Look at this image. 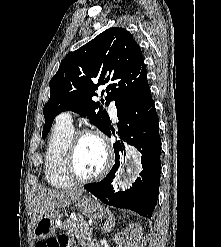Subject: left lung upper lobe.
Returning a JSON list of instances; mask_svg holds the SVG:
<instances>
[{
	"mask_svg": "<svg viewBox=\"0 0 221 247\" xmlns=\"http://www.w3.org/2000/svg\"><path fill=\"white\" fill-rule=\"evenodd\" d=\"M99 86L105 87L102 104H122L151 95L141 49L132 34L119 27L105 30L93 40L67 56L50 81V99L43 108L45 138L54 118L63 111L87 116L103 133L111 122L98 96ZM99 109V111H98Z\"/></svg>",
	"mask_w": 221,
	"mask_h": 247,
	"instance_id": "obj_1",
	"label": "left lung upper lobe"
}]
</instances>
